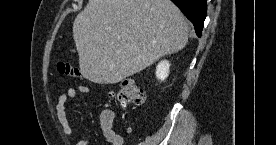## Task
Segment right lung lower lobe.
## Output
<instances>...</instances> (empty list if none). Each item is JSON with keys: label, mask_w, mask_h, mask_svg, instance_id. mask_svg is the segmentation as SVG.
Returning a JSON list of instances; mask_svg holds the SVG:
<instances>
[{"label": "right lung lower lobe", "mask_w": 276, "mask_h": 145, "mask_svg": "<svg viewBox=\"0 0 276 145\" xmlns=\"http://www.w3.org/2000/svg\"><path fill=\"white\" fill-rule=\"evenodd\" d=\"M184 15L193 23L198 37L201 36L204 20L206 18V0H171Z\"/></svg>", "instance_id": "obj_1"}]
</instances>
